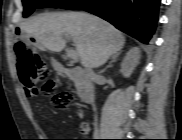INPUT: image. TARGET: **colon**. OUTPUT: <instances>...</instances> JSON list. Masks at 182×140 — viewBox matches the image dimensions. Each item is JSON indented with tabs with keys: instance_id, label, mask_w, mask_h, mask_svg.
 I'll use <instances>...</instances> for the list:
<instances>
[{
	"instance_id": "colon-1",
	"label": "colon",
	"mask_w": 182,
	"mask_h": 140,
	"mask_svg": "<svg viewBox=\"0 0 182 140\" xmlns=\"http://www.w3.org/2000/svg\"><path fill=\"white\" fill-rule=\"evenodd\" d=\"M14 50L18 60V71L28 96L37 94V84L45 81L43 91L52 95L51 103L56 109H65L73 105L74 97L71 92H54V82L47 80L49 76L47 65L34 49L26 42L18 41Z\"/></svg>"
}]
</instances>
